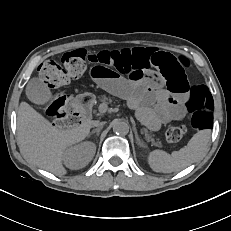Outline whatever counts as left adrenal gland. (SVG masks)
Wrapping results in <instances>:
<instances>
[{"label": "left adrenal gland", "mask_w": 231, "mask_h": 231, "mask_svg": "<svg viewBox=\"0 0 231 231\" xmlns=\"http://www.w3.org/2000/svg\"><path fill=\"white\" fill-rule=\"evenodd\" d=\"M135 138H136V143L139 145V146H141V147H146L145 146V144H144V142L142 141V140H140V138L138 137V133H137V131L135 130Z\"/></svg>", "instance_id": "left-adrenal-gland-1"}]
</instances>
